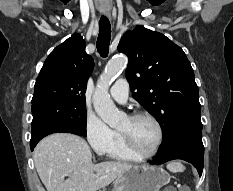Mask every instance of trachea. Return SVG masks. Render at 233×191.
Returning <instances> with one entry per match:
<instances>
[{"label": "trachea", "instance_id": "trachea-1", "mask_svg": "<svg viewBox=\"0 0 233 191\" xmlns=\"http://www.w3.org/2000/svg\"><path fill=\"white\" fill-rule=\"evenodd\" d=\"M100 32L97 38V51L103 57L108 56V49L111 37V25L107 17L102 16L99 21Z\"/></svg>", "mask_w": 233, "mask_h": 191}]
</instances>
